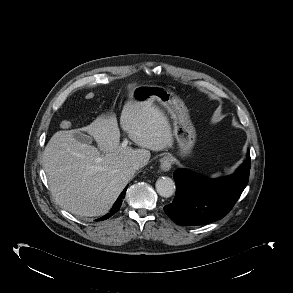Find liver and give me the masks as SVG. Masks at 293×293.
<instances>
[{
	"mask_svg": "<svg viewBox=\"0 0 293 293\" xmlns=\"http://www.w3.org/2000/svg\"><path fill=\"white\" fill-rule=\"evenodd\" d=\"M134 87L128 86L130 101L123 106L120 124L140 149L121 147L113 112L102 114L81 129L58 131L49 140L43 153V168L51 193L63 209L78 216L106 214L133 178L132 164L141 159L148 163L150 150L172 148L167 117L151 102H133ZM80 131L91 135L98 148L77 141L73 133Z\"/></svg>",
	"mask_w": 293,
	"mask_h": 293,
	"instance_id": "obj_1",
	"label": "liver"
}]
</instances>
